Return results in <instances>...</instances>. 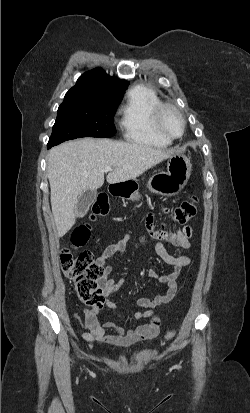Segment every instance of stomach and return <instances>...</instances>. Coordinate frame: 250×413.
<instances>
[{
  "label": "stomach",
  "instance_id": "obj_1",
  "mask_svg": "<svg viewBox=\"0 0 250 413\" xmlns=\"http://www.w3.org/2000/svg\"><path fill=\"white\" fill-rule=\"evenodd\" d=\"M191 175V163L183 154L176 153L169 157L167 172L156 174L150 178L148 188L150 191L163 196L179 194L187 184ZM122 198L138 201L141 197L138 184L134 180L123 182L119 192Z\"/></svg>",
  "mask_w": 250,
  "mask_h": 413
}]
</instances>
